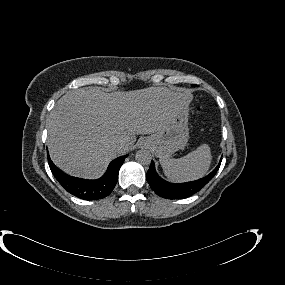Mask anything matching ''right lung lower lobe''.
I'll list each match as a JSON object with an SVG mask.
<instances>
[{
    "instance_id": "obj_1",
    "label": "right lung lower lobe",
    "mask_w": 285,
    "mask_h": 285,
    "mask_svg": "<svg viewBox=\"0 0 285 285\" xmlns=\"http://www.w3.org/2000/svg\"><path fill=\"white\" fill-rule=\"evenodd\" d=\"M128 155L113 160L106 173L99 179L87 180L73 177L60 171L51 161L48 154L49 167L58 182L72 195L84 200H97L108 196L115 187L121 165Z\"/></svg>"
}]
</instances>
